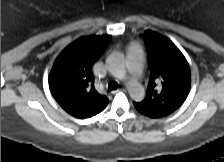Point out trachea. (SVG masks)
I'll return each mask as SVG.
<instances>
[{"instance_id":"1","label":"trachea","mask_w":224,"mask_h":162,"mask_svg":"<svg viewBox=\"0 0 224 162\" xmlns=\"http://www.w3.org/2000/svg\"><path fill=\"white\" fill-rule=\"evenodd\" d=\"M118 87H119V85H118V83L115 82V81H111V82L108 84V90H109V91L116 90Z\"/></svg>"}]
</instances>
